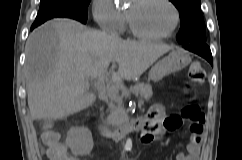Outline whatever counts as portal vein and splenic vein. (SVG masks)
Segmentation results:
<instances>
[{"instance_id": "18ae733b", "label": "portal vein and splenic vein", "mask_w": 242, "mask_h": 160, "mask_svg": "<svg viewBox=\"0 0 242 160\" xmlns=\"http://www.w3.org/2000/svg\"><path fill=\"white\" fill-rule=\"evenodd\" d=\"M91 80H96L94 83L95 88L100 92H107L112 99L118 98V91L114 87L106 86L105 84V75L101 74L96 77L91 78ZM143 104V101L138 102V106H141Z\"/></svg>"}]
</instances>
